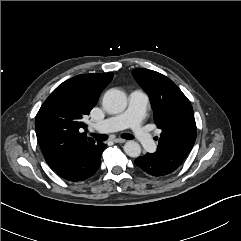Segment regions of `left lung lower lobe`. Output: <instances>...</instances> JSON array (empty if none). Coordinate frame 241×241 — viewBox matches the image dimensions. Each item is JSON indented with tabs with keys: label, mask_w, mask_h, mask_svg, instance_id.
Returning a JSON list of instances; mask_svg holds the SVG:
<instances>
[{
	"label": "left lung lower lobe",
	"mask_w": 241,
	"mask_h": 241,
	"mask_svg": "<svg viewBox=\"0 0 241 241\" xmlns=\"http://www.w3.org/2000/svg\"><path fill=\"white\" fill-rule=\"evenodd\" d=\"M135 164L144 172L152 176H164L174 172L177 167L162 163L151 157L150 153L140 156L135 160Z\"/></svg>",
	"instance_id": "left-lung-lower-lobe-1"
}]
</instances>
